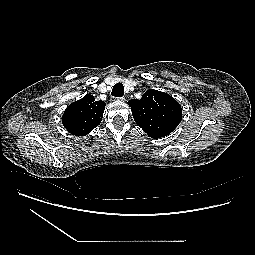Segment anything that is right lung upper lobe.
<instances>
[{"mask_svg": "<svg viewBox=\"0 0 255 255\" xmlns=\"http://www.w3.org/2000/svg\"><path fill=\"white\" fill-rule=\"evenodd\" d=\"M105 106L104 101H95L92 95L87 94L66 108L63 126L73 135H87L101 122Z\"/></svg>", "mask_w": 255, "mask_h": 255, "instance_id": "cb5924a9", "label": "right lung upper lobe"}]
</instances>
